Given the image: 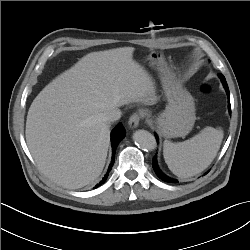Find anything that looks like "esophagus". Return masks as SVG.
<instances>
[{"instance_id": "34e87169", "label": "esophagus", "mask_w": 250, "mask_h": 250, "mask_svg": "<svg viewBox=\"0 0 250 250\" xmlns=\"http://www.w3.org/2000/svg\"><path fill=\"white\" fill-rule=\"evenodd\" d=\"M141 120V114L140 113H133L128 121V125L131 129L137 128L139 125V122Z\"/></svg>"}]
</instances>
